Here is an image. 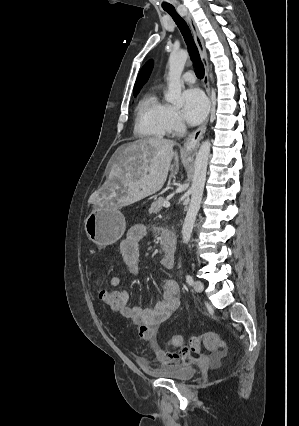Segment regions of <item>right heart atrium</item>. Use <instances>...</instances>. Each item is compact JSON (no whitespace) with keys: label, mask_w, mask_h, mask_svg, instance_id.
Wrapping results in <instances>:
<instances>
[{"label":"right heart atrium","mask_w":299,"mask_h":426,"mask_svg":"<svg viewBox=\"0 0 299 426\" xmlns=\"http://www.w3.org/2000/svg\"><path fill=\"white\" fill-rule=\"evenodd\" d=\"M167 125L169 132H177L183 128V121L179 112L172 107H169L168 110Z\"/></svg>","instance_id":"obj_1"}]
</instances>
